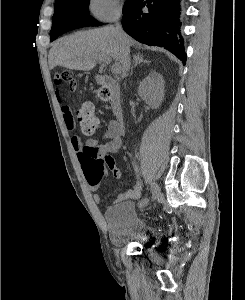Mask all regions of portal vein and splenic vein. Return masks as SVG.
<instances>
[{
	"label": "portal vein and splenic vein",
	"instance_id": "obj_1",
	"mask_svg": "<svg viewBox=\"0 0 245 300\" xmlns=\"http://www.w3.org/2000/svg\"><path fill=\"white\" fill-rule=\"evenodd\" d=\"M100 62H104V63H109L110 59L108 57H101L99 59ZM111 70L113 73L115 74H119L121 72V68L120 65L118 63L112 65Z\"/></svg>",
	"mask_w": 245,
	"mask_h": 300
}]
</instances>
